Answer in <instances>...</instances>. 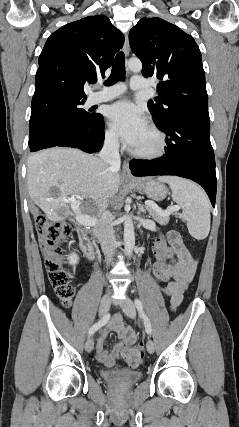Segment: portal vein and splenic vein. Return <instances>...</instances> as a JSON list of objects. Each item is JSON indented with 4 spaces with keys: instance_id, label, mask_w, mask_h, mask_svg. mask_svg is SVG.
Returning <instances> with one entry per match:
<instances>
[{
    "instance_id": "portal-vein-and-splenic-vein-1",
    "label": "portal vein and splenic vein",
    "mask_w": 239,
    "mask_h": 427,
    "mask_svg": "<svg viewBox=\"0 0 239 427\" xmlns=\"http://www.w3.org/2000/svg\"><path fill=\"white\" fill-rule=\"evenodd\" d=\"M76 198L80 199V197H76ZM76 198L75 197H71V198H68L66 201L69 202V203L74 204V203L77 202ZM145 205L147 207L153 208L154 210H156L159 214H161L163 216H169L170 214H172V212H177L180 209L179 206H173V207H170L168 210L163 211L155 203L150 202V201H146ZM97 222H98V220L96 218H87V219L84 220L83 223L91 225V226H94V225L97 224Z\"/></svg>"
}]
</instances>
